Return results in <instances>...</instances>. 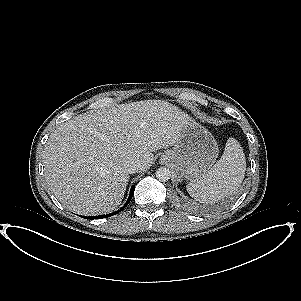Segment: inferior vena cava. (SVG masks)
I'll use <instances>...</instances> for the list:
<instances>
[{"instance_id": "602c4592", "label": "inferior vena cava", "mask_w": 301, "mask_h": 301, "mask_svg": "<svg viewBox=\"0 0 301 301\" xmlns=\"http://www.w3.org/2000/svg\"><path fill=\"white\" fill-rule=\"evenodd\" d=\"M143 168V165H141L140 163H131L128 165L127 170L129 173H136L143 171Z\"/></svg>"}]
</instances>
